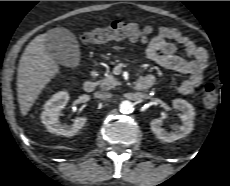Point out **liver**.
I'll list each match as a JSON object with an SVG mask.
<instances>
[{
	"label": "liver",
	"instance_id": "6515ba94",
	"mask_svg": "<svg viewBox=\"0 0 230 186\" xmlns=\"http://www.w3.org/2000/svg\"><path fill=\"white\" fill-rule=\"evenodd\" d=\"M46 36H36L22 54L17 75V97L20 111L26 116L39 94L60 71L46 48Z\"/></svg>",
	"mask_w": 230,
	"mask_h": 186
}]
</instances>
